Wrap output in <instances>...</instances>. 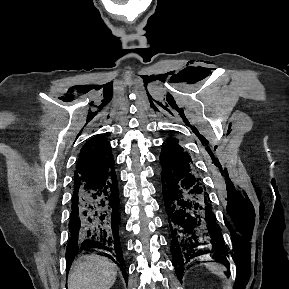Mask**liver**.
Wrapping results in <instances>:
<instances>
[{
  "instance_id": "6515ba94",
  "label": "liver",
  "mask_w": 289,
  "mask_h": 289,
  "mask_svg": "<svg viewBox=\"0 0 289 289\" xmlns=\"http://www.w3.org/2000/svg\"><path fill=\"white\" fill-rule=\"evenodd\" d=\"M117 276V266L108 258L89 255L74 262L68 276V289H110Z\"/></svg>"
}]
</instances>
